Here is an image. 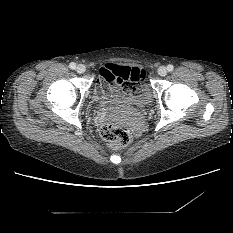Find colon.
I'll use <instances>...</instances> for the list:
<instances>
[{
    "label": "colon",
    "mask_w": 233,
    "mask_h": 233,
    "mask_svg": "<svg viewBox=\"0 0 233 233\" xmlns=\"http://www.w3.org/2000/svg\"><path fill=\"white\" fill-rule=\"evenodd\" d=\"M112 79L118 82L125 92L132 93L138 88L139 79L132 76L127 68L117 69ZM102 121L100 132L110 149L123 148L129 145L130 135L119 124L118 117L112 111L105 110L102 113Z\"/></svg>",
    "instance_id": "1"
}]
</instances>
